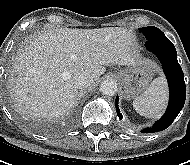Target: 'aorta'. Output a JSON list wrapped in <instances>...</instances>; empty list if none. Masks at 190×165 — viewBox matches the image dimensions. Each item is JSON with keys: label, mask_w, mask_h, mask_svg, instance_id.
<instances>
[{"label": "aorta", "mask_w": 190, "mask_h": 165, "mask_svg": "<svg viewBox=\"0 0 190 165\" xmlns=\"http://www.w3.org/2000/svg\"><path fill=\"white\" fill-rule=\"evenodd\" d=\"M117 89V82L114 79H106L100 85L101 93L108 96L115 95Z\"/></svg>", "instance_id": "aorta-1"}]
</instances>
